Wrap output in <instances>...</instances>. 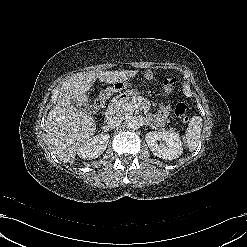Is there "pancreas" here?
<instances>
[{
  "instance_id": "1",
  "label": "pancreas",
  "mask_w": 247,
  "mask_h": 247,
  "mask_svg": "<svg viewBox=\"0 0 247 247\" xmlns=\"http://www.w3.org/2000/svg\"><path fill=\"white\" fill-rule=\"evenodd\" d=\"M129 105H138L139 109L148 112L151 103L148 99L140 96L137 92H133L131 96L125 98H114L110 104L113 114L117 116H126L132 112L128 110Z\"/></svg>"
}]
</instances>
